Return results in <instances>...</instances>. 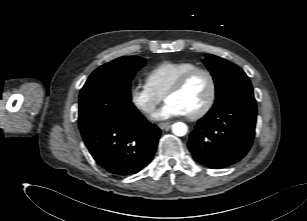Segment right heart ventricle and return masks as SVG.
<instances>
[{"mask_svg": "<svg viewBox=\"0 0 307 221\" xmlns=\"http://www.w3.org/2000/svg\"><path fill=\"white\" fill-rule=\"evenodd\" d=\"M197 67L189 61H164L147 73L146 84L163 97L179 77Z\"/></svg>", "mask_w": 307, "mask_h": 221, "instance_id": "right-heart-ventricle-1", "label": "right heart ventricle"}]
</instances>
